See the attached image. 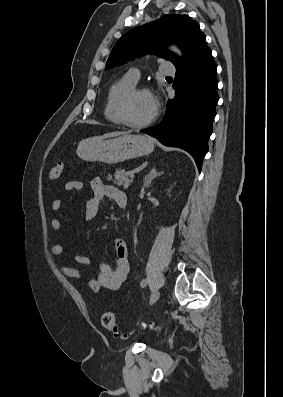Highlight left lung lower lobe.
Here are the masks:
<instances>
[{"mask_svg":"<svg viewBox=\"0 0 283 397\" xmlns=\"http://www.w3.org/2000/svg\"><path fill=\"white\" fill-rule=\"evenodd\" d=\"M216 70L217 65L207 44L192 52L176 66L175 97L168 100L164 119L160 124L140 131L166 146L189 152L199 171L208 151V139L219 100Z\"/></svg>","mask_w":283,"mask_h":397,"instance_id":"1","label":"left lung lower lobe"}]
</instances>
